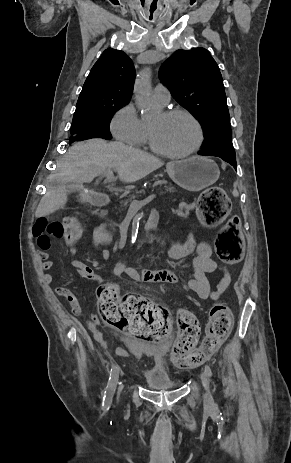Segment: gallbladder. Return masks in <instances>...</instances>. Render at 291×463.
Listing matches in <instances>:
<instances>
[{
	"mask_svg": "<svg viewBox=\"0 0 291 463\" xmlns=\"http://www.w3.org/2000/svg\"><path fill=\"white\" fill-rule=\"evenodd\" d=\"M66 189L70 192L79 190V188H77L74 184H71V183L66 185Z\"/></svg>",
	"mask_w": 291,
	"mask_h": 463,
	"instance_id": "1",
	"label": "gallbladder"
}]
</instances>
